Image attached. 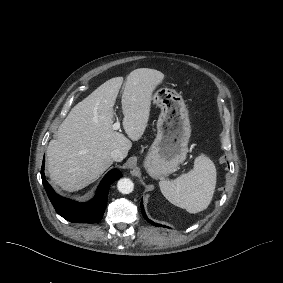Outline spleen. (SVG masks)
Wrapping results in <instances>:
<instances>
[{"instance_id":"spleen-1","label":"spleen","mask_w":283,"mask_h":283,"mask_svg":"<svg viewBox=\"0 0 283 283\" xmlns=\"http://www.w3.org/2000/svg\"><path fill=\"white\" fill-rule=\"evenodd\" d=\"M217 183V168L210 156L205 153L194 161V169L181 176L174 183L162 181V194L173 205L197 214L206 210L214 196Z\"/></svg>"}]
</instances>
